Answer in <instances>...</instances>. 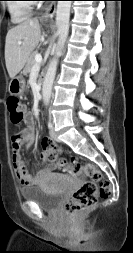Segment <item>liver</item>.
<instances>
[{"label":"liver","mask_w":133,"mask_h":253,"mask_svg":"<svg viewBox=\"0 0 133 253\" xmlns=\"http://www.w3.org/2000/svg\"><path fill=\"white\" fill-rule=\"evenodd\" d=\"M40 39L41 29L37 18L25 20L8 31L5 62L10 78H14L21 71Z\"/></svg>","instance_id":"obj_1"}]
</instances>
